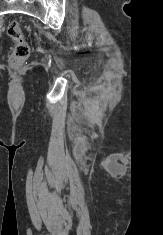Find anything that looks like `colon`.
Instances as JSON below:
<instances>
[{
  "label": "colon",
  "mask_w": 163,
  "mask_h": 235,
  "mask_svg": "<svg viewBox=\"0 0 163 235\" xmlns=\"http://www.w3.org/2000/svg\"><path fill=\"white\" fill-rule=\"evenodd\" d=\"M7 34L15 42V47L10 57V63L14 68H18L29 57L30 46L18 22H10L7 28Z\"/></svg>",
  "instance_id": "colon-1"
}]
</instances>
